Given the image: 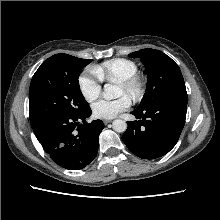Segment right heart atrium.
Here are the masks:
<instances>
[{
  "instance_id": "d8ad5b80",
  "label": "right heart atrium",
  "mask_w": 220,
  "mask_h": 220,
  "mask_svg": "<svg viewBox=\"0 0 220 220\" xmlns=\"http://www.w3.org/2000/svg\"><path fill=\"white\" fill-rule=\"evenodd\" d=\"M78 86L83 98L89 103L100 95L102 89L101 80L94 73L93 68L80 75Z\"/></svg>"
}]
</instances>
